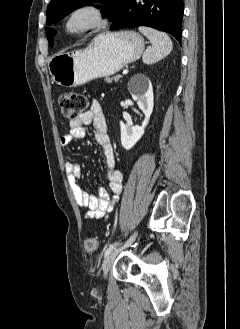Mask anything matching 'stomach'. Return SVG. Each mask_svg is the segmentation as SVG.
<instances>
[{"label":"stomach","instance_id":"obj_1","mask_svg":"<svg viewBox=\"0 0 240 329\" xmlns=\"http://www.w3.org/2000/svg\"><path fill=\"white\" fill-rule=\"evenodd\" d=\"M143 51L144 39L135 31L108 32L84 49L54 54L48 69L58 85L72 88L117 73Z\"/></svg>","mask_w":240,"mask_h":329}]
</instances>
